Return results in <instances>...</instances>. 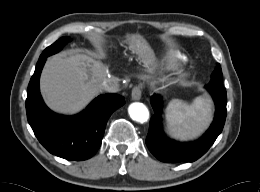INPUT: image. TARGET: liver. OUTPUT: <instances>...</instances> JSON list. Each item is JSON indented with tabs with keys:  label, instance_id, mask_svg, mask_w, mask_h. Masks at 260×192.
I'll use <instances>...</instances> for the list:
<instances>
[{
	"label": "liver",
	"instance_id": "liver-1",
	"mask_svg": "<svg viewBox=\"0 0 260 192\" xmlns=\"http://www.w3.org/2000/svg\"><path fill=\"white\" fill-rule=\"evenodd\" d=\"M144 64L152 67L153 58ZM106 78L107 69L100 60L80 53L58 54L46 61L40 77V90L52 110L73 114L100 93V84Z\"/></svg>",
	"mask_w": 260,
	"mask_h": 192
}]
</instances>
